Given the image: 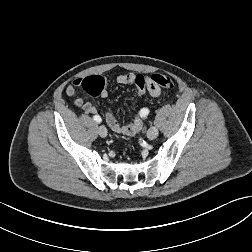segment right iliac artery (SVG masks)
<instances>
[{
	"instance_id": "1",
	"label": "right iliac artery",
	"mask_w": 252,
	"mask_h": 252,
	"mask_svg": "<svg viewBox=\"0 0 252 252\" xmlns=\"http://www.w3.org/2000/svg\"><path fill=\"white\" fill-rule=\"evenodd\" d=\"M94 120L97 122V123H100L102 121L101 117L99 115H95L94 117Z\"/></svg>"
}]
</instances>
